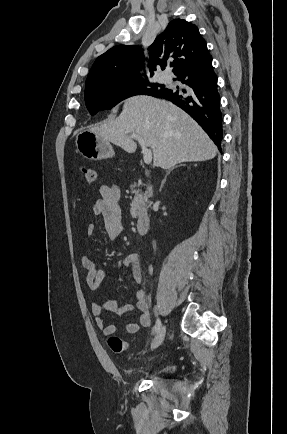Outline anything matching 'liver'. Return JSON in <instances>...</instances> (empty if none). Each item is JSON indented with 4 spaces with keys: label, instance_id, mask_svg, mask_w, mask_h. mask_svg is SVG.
I'll return each mask as SVG.
<instances>
[{
    "label": "liver",
    "instance_id": "liver-1",
    "mask_svg": "<svg viewBox=\"0 0 287 434\" xmlns=\"http://www.w3.org/2000/svg\"><path fill=\"white\" fill-rule=\"evenodd\" d=\"M90 130L128 153L137 148L131 134L139 135L153 150L154 166L162 169L182 162L210 160L218 151L187 113L166 100L150 96L128 99L118 118Z\"/></svg>",
    "mask_w": 287,
    "mask_h": 434
}]
</instances>
